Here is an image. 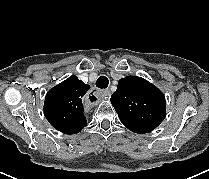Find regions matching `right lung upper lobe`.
<instances>
[{
    "instance_id": "1",
    "label": "right lung upper lobe",
    "mask_w": 209,
    "mask_h": 179,
    "mask_svg": "<svg viewBox=\"0 0 209 179\" xmlns=\"http://www.w3.org/2000/svg\"><path fill=\"white\" fill-rule=\"evenodd\" d=\"M89 89V85L74 75L51 88L44 102V114L49 123L64 134H76L86 127L84 100ZM95 99L90 97L91 101Z\"/></svg>"
}]
</instances>
